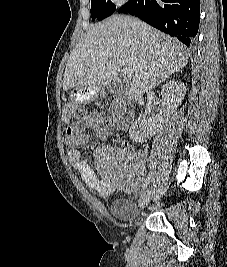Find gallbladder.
<instances>
[{
  "label": "gallbladder",
  "mask_w": 227,
  "mask_h": 267,
  "mask_svg": "<svg viewBox=\"0 0 227 267\" xmlns=\"http://www.w3.org/2000/svg\"><path fill=\"white\" fill-rule=\"evenodd\" d=\"M116 84H118V83H111L110 85L106 86V91L108 93H111L115 89V87L117 86Z\"/></svg>",
  "instance_id": "obj_1"
}]
</instances>
